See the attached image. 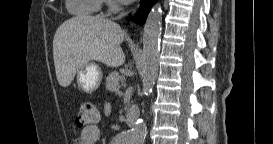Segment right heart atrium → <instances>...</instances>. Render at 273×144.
Wrapping results in <instances>:
<instances>
[{"mask_svg": "<svg viewBox=\"0 0 273 144\" xmlns=\"http://www.w3.org/2000/svg\"><path fill=\"white\" fill-rule=\"evenodd\" d=\"M110 9H111L112 11H115V10H116V7H115L113 4H110Z\"/></svg>", "mask_w": 273, "mask_h": 144, "instance_id": "obj_1", "label": "right heart atrium"}]
</instances>
